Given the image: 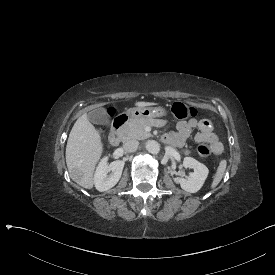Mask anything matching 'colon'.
I'll return each mask as SVG.
<instances>
[{"mask_svg":"<svg viewBox=\"0 0 275 275\" xmlns=\"http://www.w3.org/2000/svg\"><path fill=\"white\" fill-rule=\"evenodd\" d=\"M171 109L173 116L178 119L193 118L196 115L194 107L179 101L174 102ZM197 153L203 158H208L211 155V148L208 144L202 143L197 147Z\"/></svg>","mask_w":275,"mask_h":275,"instance_id":"obj_1","label":"colon"}]
</instances>
